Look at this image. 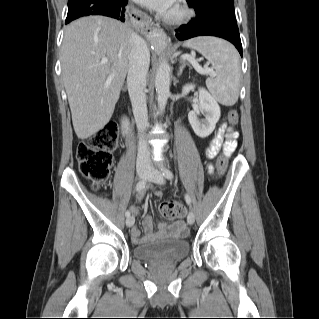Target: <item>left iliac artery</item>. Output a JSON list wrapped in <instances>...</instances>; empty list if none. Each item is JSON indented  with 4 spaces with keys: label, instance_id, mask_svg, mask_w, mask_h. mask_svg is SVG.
I'll use <instances>...</instances> for the list:
<instances>
[{
    "label": "left iliac artery",
    "instance_id": "1",
    "mask_svg": "<svg viewBox=\"0 0 319 319\" xmlns=\"http://www.w3.org/2000/svg\"><path fill=\"white\" fill-rule=\"evenodd\" d=\"M163 176L165 178L171 180L173 178V173L169 169L164 168L163 169ZM185 201H186L187 205H189V206L191 205V198L188 194L185 195Z\"/></svg>",
    "mask_w": 319,
    "mask_h": 319
}]
</instances>
